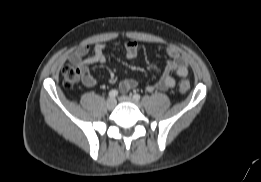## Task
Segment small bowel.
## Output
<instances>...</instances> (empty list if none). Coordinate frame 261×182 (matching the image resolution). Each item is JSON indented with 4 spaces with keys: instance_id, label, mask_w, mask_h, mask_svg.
Masks as SVG:
<instances>
[{
    "instance_id": "1",
    "label": "small bowel",
    "mask_w": 261,
    "mask_h": 182,
    "mask_svg": "<svg viewBox=\"0 0 261 182\" xmlns=\"http://www.w3.org/2000/svg\"><path fill=\"white\" fill-rule=\"evenodd\" d=\"M118 45V44H114ZM125 55L128 59H134L139 53V45L135 41H127L124 45ZM93 54L88 56L90 46L83 45L76 51L71 53L68 60L73 65L80 69L82 75V82L86 87H92L96 84V79L90 72V66L95 63H105V49L106 45L103 43H96L92 47ZM166 54L170 58L166 62L162 76L160 80L155 84H150L146 86V90L152 92L154 90H165L172 88L175 85V79L173 75L179 77H186L188 75V59L186 56L180 53V51L173 46L166 48ZM138 85L137 81L134 79H125L119 83V89L122 92H127L134 89Z\"/></svg>"
}]
</instances>
